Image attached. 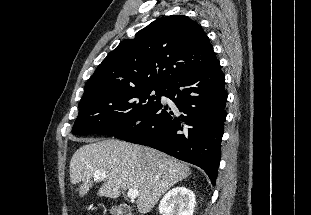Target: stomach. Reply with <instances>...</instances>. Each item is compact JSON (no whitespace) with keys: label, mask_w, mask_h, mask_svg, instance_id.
<instances>
[{"label":"stomach","mask_w":311,"mask_h":215,"mask_svg":"<svg viewBox=\"0 0 311 215\" xmlns=\"http://www.w3.org/2000/svg\"><path fill=\"white\" fill-rule=\"evenodd\" d=\"M113 213H115V210L113 209V211H112Z\"/></svg>","instance_id":"obj_1"}]
</instances>
